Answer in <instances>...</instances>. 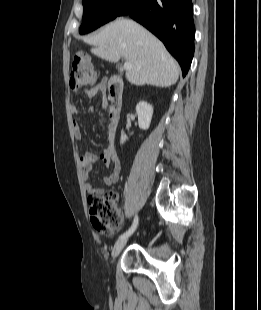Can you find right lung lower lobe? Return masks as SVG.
Here are the masks:
<instances>
[{"instance_id":"1","label":"right lung lower lobe","mask_w":261,"mask_h":310,"mask_svg":"<svg viewBox=\"0 0 261 310\" xmlns=\"http://www.w3.org/2000/svg\"><path fill=\"white\" fill-rule=\"evenodd\" d=\"M124 15L156 35L179 62L183 76L187 74L194 54L191 0H128L117 14Z\"/></svg>"}]
</instances>
